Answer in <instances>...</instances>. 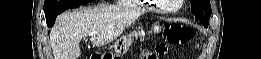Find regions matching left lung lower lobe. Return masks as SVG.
I'll use <instances>...</instances> for the list:
<instances>
[{"label": "left lung lower lobe", "mask_w": 261, "mask_h": 59, "mask_svg": "<svg viewBox=\"0 0 261 59\" xmlns=\"http://www.w3.org/2000/svg\"><path fill=\"white\" fill-rule=\"evenodd\" d=\"M205 27H207V24L206 23H202Z\"/></svg>", "instance_id": "left-lung-lower-lobe-1"}]
</instances>
